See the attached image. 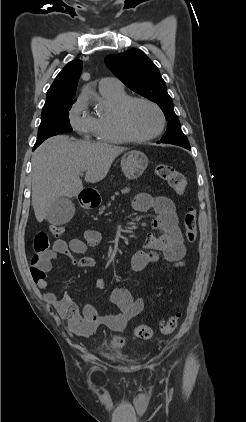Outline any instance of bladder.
I'll list each match as a JSON object with an SVG mask.
<instances>
[{"label":"bladder","mask_w":246,"mask_h":422,"mask_svg":"<svg viewBox=\"0 0 246 422\" xmlns=\"http://www.w3.org/2000/svg\"><path fill=\"white\" fill-rule=\"evenodd\" d=\"M120 348V343L118 342H113L111 345L110 350H118Z\"/></svg>","instance_id":"obj_1"}]
</instances>
